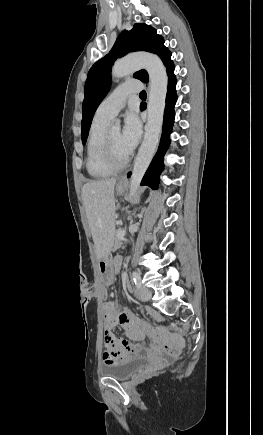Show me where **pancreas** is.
<instances>
[{
	"label": "pancreas",
	"mask_w": 263,
	"mask_h": 435,
	"mask_svg": "<svg viewBox=\"0 0 263 435\" xmlns=\"http://www.w3.org/2000/svg\"><path fill=\"white\" fill-rule=\"evenodd\" d=\"M120 231V229H118L117 231H116V239H115V244H114V248H119L121 245H122V241H121V239H119L118 237H117V233Z\"/></svg>",
	"instance_id": "pancreas-1"
}]
</instances>
